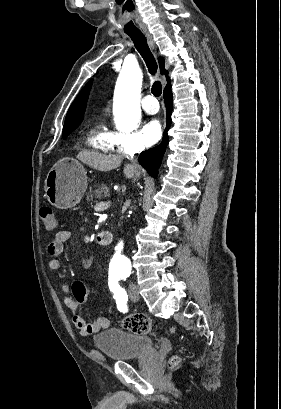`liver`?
I'll use <instances>...</instances> for the list:
<instances>
[{
	"label": "liver",
	"instance_id": "1",
	"mask_svg": "<svg viewBox=\"0 0 281 409\" xmlns=\"http://www.w3.org/2000/svg\"><path fill=\"white\" fill-rule=\"evenodd\" d=\"M77 158L91 166V168H96V170H112V168H117L121 164V156H118V154H102L97 150H81L77 154ZM123 172L126 178L134 176V164H125Z\"/></svg>",
	"mask_w": 281,
	"mask_h": 409
}]
</instances>
